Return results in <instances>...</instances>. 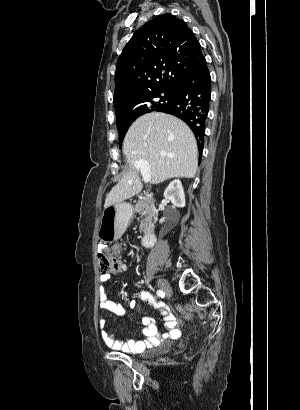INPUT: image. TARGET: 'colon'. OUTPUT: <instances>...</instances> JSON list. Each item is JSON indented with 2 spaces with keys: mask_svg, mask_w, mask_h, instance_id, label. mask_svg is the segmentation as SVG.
Here are the masks:
<instances>
[{
  "mask_svg": "<svg viewBox=\"0 0 300 410\" xmlns=\"http://www.w3.org/2000/svg\"><path fill=\"white\" fill-rule=\"evenodd\" d=\"M98 263L101 274L119 273L125 269L124 262L112 254L99 253Z\"/></svg>",
  "mask_w": 300,
  "mask_h": 410,
  "instance_id": "1",
  "label": "colon"
}]
</instances>
